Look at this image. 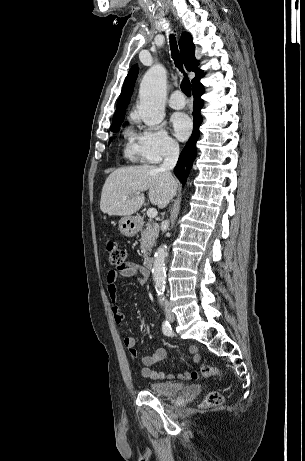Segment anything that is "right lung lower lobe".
Here are the masks:
<instances>
[{
  "mask_svg": "<svg viewBox=\"0 0 305 461\" xmlns=\"http://www.w3.org/2000/svg\"><path fill=\"white\" fill-rule=\"evenodd\" d=\"M192 93L194 96L193 132L190 139L188 140V143L186 144L179 156L176 167L174 168V173L176 177L183 185L192 167L193 161L197 155L195 144L199 138V126L202 123V116L200 114V110L203 106V100L201 99V95L204 93L203 85L200 82H197L194 85H192Z\"/></svg>",
  "mask_w": 305,
  "mask_h": 461,
  "instance_id": "98d812e1",
  "label": "right lung lower lobe"
}]
</instances>
